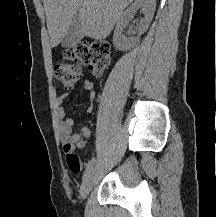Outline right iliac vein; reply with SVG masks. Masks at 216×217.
<instances>
[{"instance_id": "obj_1", "label": "right iliac vein", "mask_w": 216, "mask_h": 217, "mask_svg": "<svg viewBox=\"0 0 216 217\" xmlns=\"http://www.w3.org/2000/svg\"><path fill=\"white\" fill-rule=\"evenodd\" d=\"M94 176H95V171L94 169H91L90 172L84 177L80 188V194L82 199H85L89 194L90 190L92 189Z\"/></svg>"}]
</instances>
